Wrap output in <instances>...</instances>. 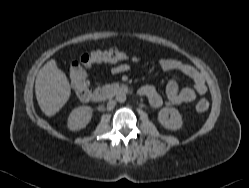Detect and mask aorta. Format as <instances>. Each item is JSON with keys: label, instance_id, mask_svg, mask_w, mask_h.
Instances as JSON below:
<instances>
[{"label": "aorta", "instance_id": "1", "mask_svg": "<svg viewBox=\"0 0 249 188\" xmlns=\"http://www.w3.org/2000/svg\"><path fill=\"white\" fill-rule=\"evenodd\" d=\"M116 100L119 103H124L126 101V94L123 92H120L116 95Z\"/></svg>", "mask_w": 249, "mask_h": 188}]
</instances>
